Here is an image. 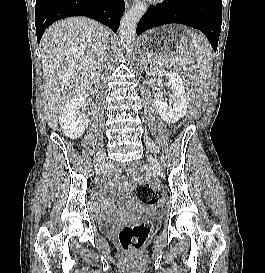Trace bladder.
I'll use <instances>...</instances> for the list:
<instances>
[{"label":"bladder","mask_w":265,"mask_h":273,"mask_svg":"<svg viewBox=\"0 0 265 273\" xmlns=\"http://www.w3.org/2000/svg\"><path fill=\"white\" fill-rule=\"evenodd\" d=\"M103 223L107 224V223H108V221H103Z\"/></svg>","instance_id":"obj_1"}]
</instances>
